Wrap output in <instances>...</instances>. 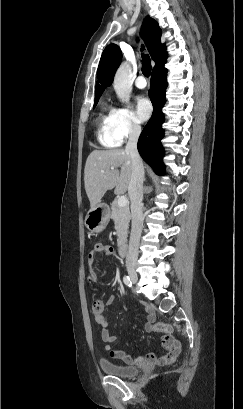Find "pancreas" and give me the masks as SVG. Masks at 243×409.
Returning a JSON list of instances; mask_svg holds the SVG:
<instances>
[{
  "label": "pancreas",
  "instance_id": "pancreas-1",
  "mask_svg": "<svg viewBox=\"0 0 243 409\" xmlns=\"http://www.w3.org/2000/svg\"><path fill=\"white\" fill-rule=\"evenodd\" d=\"M111 218L115 222V228L118 236V244L124 243L127 240L128 228L131 219L129 205L124 207L118 206L117 200L111 204Z\"/></svg>",
  "mask_w": 243,
  "mask_h": 409
}]
</instances>
